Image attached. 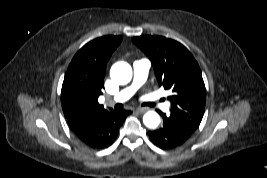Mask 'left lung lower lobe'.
<instances>
[{
    "label": "left lung lower lobe",
    "mask_w": 267,
    "mask_h": 178,
    "mask_svg": "<svg viewBox=\"0 0 267 178\" xmlns=\"http://www.w3.org/2000/svg\"><path fill=\"white\" fill-rule=\"evenodd\" d=\"M163 118V126L155 131H149L150 140L162 149H172L182 145L194 133L182 121L173 116H166L159 111Z\"/></svg>",
    "instance_id": "1"
}]
</instances>
